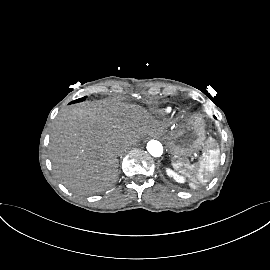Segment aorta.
Segmentation results:
<instances>
[{
	"mask_svg": "<svg viewBox=\"0 0 270 270\" xmlns=\"http://www.w3.org/2000/svg\"><path fill=\"white\" fill-rule=\"evenodd\" d=\"M147 151L153 157H160L163 153V146L159 141L151 140L147 143Z\"/></svg>",
	"mask_w": 270,
	"mask_h": 270,
	"instance_id": "1",
	"label": "aorta"
}]
</instances>
